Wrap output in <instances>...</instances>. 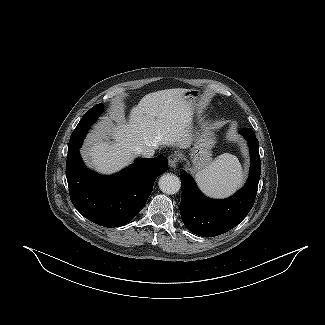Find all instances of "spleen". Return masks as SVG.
<instances>
[{
	"mask_svg": "<svg viewBox=\"0 0 325 325\" xmlns=\"http://www.w3.org/2000/svg\"><path fill=\"white\" fill-rule=\"evenodd\" d=\"M196 182L208 197H228L242 185L241 164L236 156L221 154L197 172Z\"/></svg>",
	"mask_w": 325,
	"mask_h": 325,
	"instance_id": "spleen-1",
	"label": "spleen"
}]
</instances>
